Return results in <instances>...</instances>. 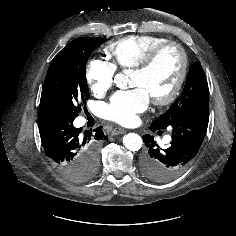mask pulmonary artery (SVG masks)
Here are the masks:
<instances>
[{
	"mask_svg": "<svg viewBox=\"0 0 236 236\" xmlns=\"http://www.w3.org/2000/svg\"><path fill=\"white\" fill-rule=\"evenodd\" d=\"M170 139H171V138H170L169 136H167V137L165 138V141H166V142H169Z\"/></svg>",
	"mask_w": 236,
	"mask_h": 236,
	"instance_id": "e3ab8cb5",
	"label": "pulmonary artery"
}]
</instances>
